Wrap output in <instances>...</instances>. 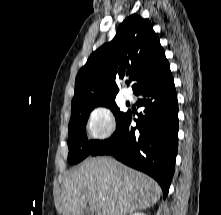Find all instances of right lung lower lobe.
I'll use <instances>...</instances> for the list:
<instances>
[{"label": "right lung lower lobe", "instance_id": "right-lung-lower-lobe-1", "mask_svg": "<svg viewBox=\"0 0 221 215\" xmlns=\"http://www.w3.org/2000/svg\"><path fill=\"white\" fill-rule=\"evenodd\" d=\"M138 107H145L131 126L127 112L114 134L90 154L113 155L122 163L147 173L167 196L178 148V103L171 71L139 88Z\"/></svg>", "mask_w": 221, "mask_h": 215}]
</instances>
